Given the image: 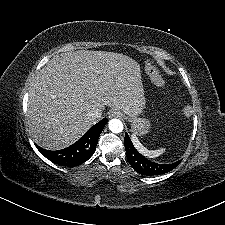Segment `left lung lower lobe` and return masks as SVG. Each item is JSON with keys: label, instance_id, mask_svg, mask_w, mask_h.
Listing matches in <instances>:
<instances>
[{"label": "left lung lower lobe", "instance_id": "0a47b994", "mask_svg": "<svg viewBox=\"0 0 225 225\" xmlns=\"http://www.w3.org/2000/svg\"><path fill=\"white\" fill-rule=\"evenodd\" d=\"M124 145L129 164L136 172L144 176L167 173L177 167L181 162L180 160L172 164H162L150 161L135 149L127 133H125Z\"/></svg>", "mask_w": 225, "mask_h": 225}]
</instances>
